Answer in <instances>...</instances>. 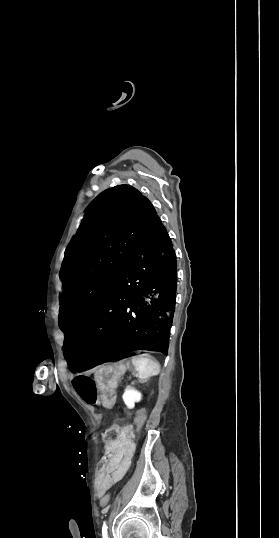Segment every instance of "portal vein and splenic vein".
<instances>
[{
    "mask_svg": "<svg viewBox=\"0 0 279 538\" xmlns=\"http://www.w3.org/2000/svg\"><path fill=\"white\" fill-rule=\"evenodd\" d=\"M128 379H132V376H128ZM131 383H132V384H135V381H134V380H131Z\"/></svg>",
    "mask_w": 279,
    "mask_h": 538,
    "instance_id": "18ae733b",
    "label": "portal vein and splenic vein"
}]
</instances>
